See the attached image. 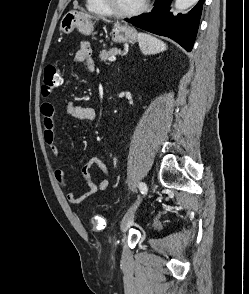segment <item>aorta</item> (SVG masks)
I'll return each mask as SVG.
<instances>
[{"label":"aorta","instance_id":"762f6f07","mask_svg":"<svg viewBox=\"0 0 249 294\" xmlns=\"http://www.w3.org/2000/svg\"><path fill=\"white\" fill-rule=\"evenodd\" d=\"M198 0H176L175 8L179 11L186 10L189 7L195 5Z\"/></svg>","mask_w":249,"mask_h":294}]
</instances>
